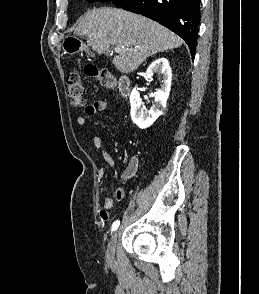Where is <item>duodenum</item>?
<instances>
[{
	"label": "duodenum",
	"instance_id": "1",
	"mask_svg": "<svg viewBox=\"0 0 259 294\" xmlns=\"http://www.w3.org/2000/svg\"><path fill=\"white\" fill-rule=\"evenodd\" d=\"M119 92L122 96H127L130 93V81L126 77L119 80Z\"/></svg>",
	"mask_w": 259,
	"mask_h": 294
}]
</instances>
